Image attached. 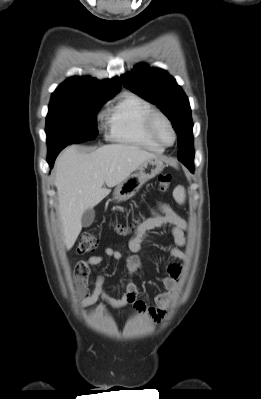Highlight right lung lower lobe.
<instances>
[{"label": "right lung lower lobe", "mask_w": 261, "mask_h": 399, "mask_svg": "<svg viewBox=\"0 0 261 399\" xmlns=\"http://www.w3.org/2000/svg\"><path fill=\"white\" fill-rule=\"evenodd\" d=\"M66 146H61V147H57V148H49L48 151V157H47V161L50 165V167L52 168L55 162V159L57 157V155L59 154V152Z\"/></svg>", "instance_id": "98d812e1"}]
</instances>
